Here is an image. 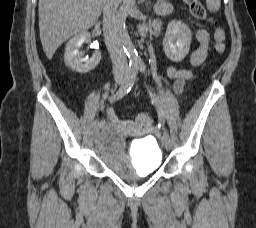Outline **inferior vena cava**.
<instances>
[{"instance_id":"obj_1","label":"inferior vena cava","mask_w":256,"mask_h":228,"mask_svg":"<svg viewBox=\"0 0 256 228\" xmlns=\"http://www.w3.org/2000/svg\"><path fill=\"white\" fill-rule=\"evenodd\" d=\"M120 2L121 0H103V33L114 75L125 76L128 73V62L119 37L116 13Z\"/></svg>"}]
</instances>
